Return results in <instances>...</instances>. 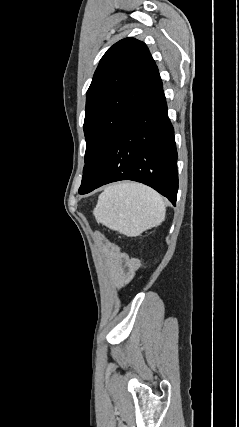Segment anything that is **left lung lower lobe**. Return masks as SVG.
<instances>
[{
	"mask_svg": "<svg viewBox=\"0 0 239 427\" xmlns=\"http://www.w3.org/2000/svg\"><path fill=\"white\" fill-rule=\"evenodd\" d=\"M120 180L146 184L176 203L177 150L162 87L119 129L91 181L79 193Z\"/></svg>",
	"mask_w": 239,
	"mask_h": 427,
	"instance_id": "left-lung-lower-lobe-1",
	"label": "left lung lower lobe"
}]
</instances>
